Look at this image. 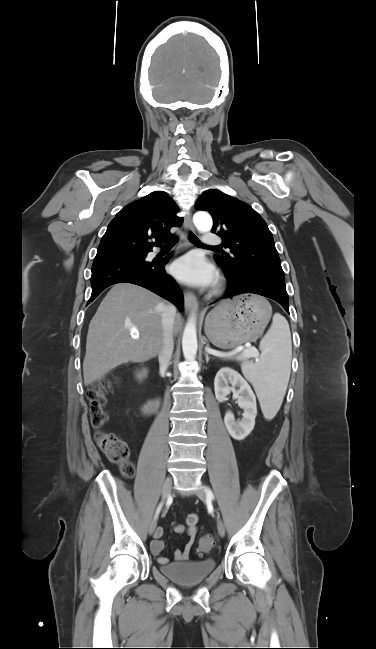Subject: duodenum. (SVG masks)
Masks as SVG:
<instances>
[{
	"mask_svg": "<svg viewBox=\"0 0 376 649\" xmlns=\"http://www.w3.org/2000/svg\"><path fill=\"white\" fill-rule=\"evenodd\" d=\"M157 407H158L157 401L150 400L143 404L142 409L145 414L150 415L156 411Z\"/></svg>",
	"mask_w": 376,
	"mask_h": 649,
	"instance_id": "obj_1",
	"label": "duodenum"
}]
</instances>
